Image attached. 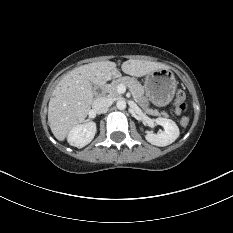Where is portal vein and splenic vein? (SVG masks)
Returning a JSON list of instances; mask_svg holds the SVG:
<instances>
[{
	"mask_svg": "<svg viewBox=\"0 0 233 233\" xmlns=\"http://www.w3.org/2000/svg\"><path fill=\"white\" fill-rule=\"evenodd\" d=\"M117 91L119 93H124L126 91V87L124 85H119Z\"/></svg>",
	"mask_w": 233,
	"mask_h": 233,
	"instance_id": "18ae733b",
	"label": "portal vein and splenic vein"
}]
</instances>
